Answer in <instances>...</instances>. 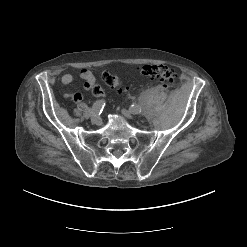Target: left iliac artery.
Returning a JSON list of instances; mask_svg holds the SVG:
<instances>
[{
  "mask_svg": "<svg viewBox=\"0 0 247 247\" xmlns=\"http://www.w3.org/2000/svg\"><path fill=\"white\" fill-rule=\"evenodd\" d=\"M130 112H131L132 114L140 113V112H141V107H140L138 104L134 103V104H132L131 107H130Z\"/></svg>",
  "mask_w": 247,
  "mask_h": 247,
  "instance_id": "obj_1",
  "label": "left iliac artery"
}]
</instances>
